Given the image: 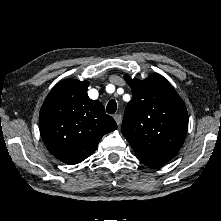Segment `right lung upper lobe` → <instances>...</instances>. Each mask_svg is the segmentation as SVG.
Returning <instances> with one entry per match:
<instances>
[{
    "label": "right lung upper lobe",
    "mask_w": 221,
    "mask_h": 221,
    "mask_svg": "<svg viewBox=\"0 0 221 221\" xmlns=\"http://www.w3.org/2000/svg\"><path fill=\"white\" fill-rule=\"evenodd\" d=\"M88 86V81H61L40 110L41 137L48 151L66 164L82 162L95 152L103 135L117 128L103 104L88 97Z\"/></svg>",
    "instance_id": "obj_1"
}]
</instances>
